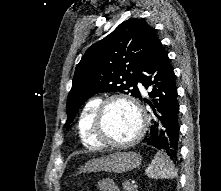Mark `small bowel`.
<instances>
[{
  "label": "small bowel",
  "mask_w": 221,
  "mask_h": 191,
  "mask_svg": "<svg viewBox=\"0 0 221 191\" xmlns=\"http://www.w3.org/2000/svg\"><path fill=\"white\" fill-rule=\"evenodd\" d=\"M99 191H120L118 186L111 180H100L97 183Z\"/></svg>",
  "instance_id": "obj_1"
}]
</instances>
